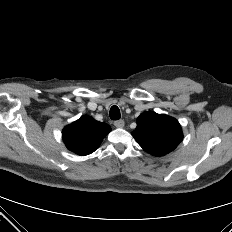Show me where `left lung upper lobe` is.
Masks as SVG:
<instances>
[{
	"label": "left lung upper lobe",
	"instance_id": "left-lung-upper-lobe-1",
	"mask_svg": "<svg viewBox=\"0 0 232 232\" xmlns=\"http://www.w3.org/2000/svg\"><path fill=\"white\" fill-rule=\"evenodd\" d=\"M132 135L146 152L154 156L171 152L183 138L181 126L176 119L155 112L142 113Z\"/></svg>",
	"mask_w": 232,
	"mask_h": 232
}]
</instances>
